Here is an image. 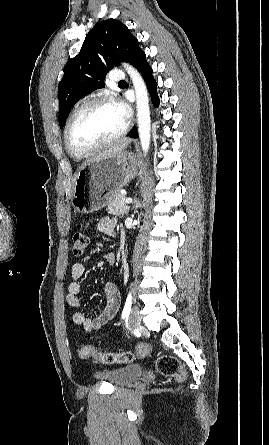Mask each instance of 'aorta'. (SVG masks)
Listing matches in <instances>:
<instances>
[{
	"label": "aorta",
	"instance_id": "762f6f07",
	"mask_svg": "<svg viewBox=\"0 0 269 445\" xmlns=\"http://www.w3.org/2000/svg\"><path fill=\"white\" fill-rule=\"evenodd\" d=\"M123 66L129 74L135 89L139 138L142 150L146 154L149 150L151 137L148 91L145 82L138 71L129 64H123Z\"/></svg>",
	"mask_w": 269,
	"mask_h": 445
}]
</instances>
